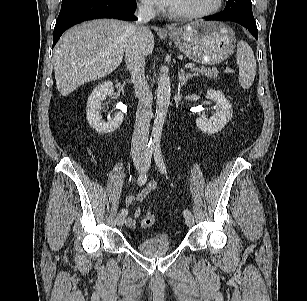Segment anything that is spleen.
<instances>
[{"label":"spleen","instance_id":"1","mask_svg":"<svg viewBox=\"0 0 307 301\" xmlns=\"http://www.w3.org/2000/svg\"><path fill=\"white\" fill-rule=\"evenodd\" d=\"M237 64L239 66V83L243 89H249L256 74V59L252 48L245 41L237 44Z\"/></svg>","mask_w":307,"mask_h":301}]
</instances>
